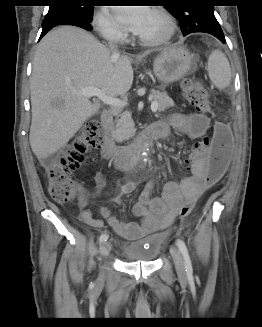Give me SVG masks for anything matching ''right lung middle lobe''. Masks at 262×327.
<instances>
[{
  "mask_svg": "<svg viewBox=\"0 0 262 327\" xmlns=\"http://www.w3.org/2000/svg\"><path fill=\"white\" fill-rule=\"evenodd\" d=\"M63 1H69V3L66 5L50 6L49 11L45 16V18L47 19L58 15H75L84 18L86 20L92 19L94 6L75 5L72 2H70L73 0H63Z\"/></svg>",
  "mask_w": 262,
  "mask_h": 327,
  "instance_id": "right-lung-middle-lobe-1",
  "label": "right lung middle lobe"
}]
</instances>
